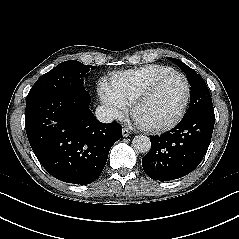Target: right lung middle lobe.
<instances>
[{
	"mask_svg": "<svg viewBox=\"0 0 239 239\" xmlns=\"http://www.w3.org/2000/svg\"><path fill=\"white\" fill-rule=\"evenodd\" d=\"M90 68L95 69V66H87L76 60L60 63L35 82L26 101L49 94L87 92L83 86V78L87 77Z\"/></svg>",
	"mask_w": 239,
	"mask_h": 239,
	"instance_id": "right-lung-middle-lobe-1",
	"label": "right lung middle lobe"
}]
</instances>
